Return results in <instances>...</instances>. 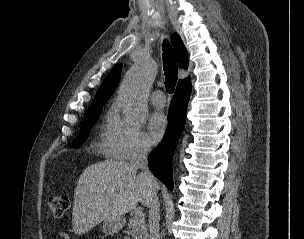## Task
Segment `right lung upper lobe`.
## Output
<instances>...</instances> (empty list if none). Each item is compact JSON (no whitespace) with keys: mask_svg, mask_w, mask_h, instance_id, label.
<instances>
[{"mask_svg":"<svg viewBox=\"0 0 304 239\" xmlns=\"http://www.w3.org/2000/svg\"><path fill=\"white\" fill-rule=\"evenodd\" d=\"M171 42L173 44V47L175 50V55H176L179 66L182 68H187L188 67V54H187V50H186L180 36L177 33L173 34L171 36ZM121 67H122V64L118 63L109 72L108 76L103 81L102 85L100 86L99 90L97 91V94L89 108L102 107L106 103V101L112 96V94H113L114 90L116 89V87L119 83V80H120ZM183 80H180L179 82H181Z\"/></svg>","mask_w":304,"mask_h":239,"instance_id":"right-lung-upper-lobe-1","label":"right lung upper lobe"}]
</instances>
